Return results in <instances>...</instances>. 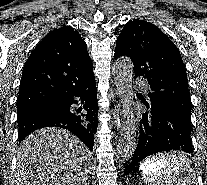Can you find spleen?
<instances>
[{
    "label": "spleen",
    "mask_w": 207,
    "mask_h": 185,
    "mask_svg": "<svg viewBox=\"0 0 207 185\" xmlns=\"http://www.w3.org/2000/svg\"><path fill=\"white\" fill-rule=\"evenodd\" d=\"M182 151L153 153V158H144V163H151L149 171L158 174H144L143 183L149 185H194L199 172L195 171L193 158H179ZM178 158V159H175Z\"/></svg>",
    "instance_id": "obj_1"
}]
</instances>
